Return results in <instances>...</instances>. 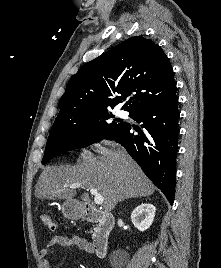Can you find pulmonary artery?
<instances>
[{"instance_id": "1", "label": "pulmonary artery", "mask_w": 221, "mask_h": 268, "mask_svg": "<svg viewBox=\"0 0 221 268\" xmlns=\"http://www.w3.org/2000/svg\"><path fill=\"white\" fill-rule=\"evenodd\" d=\"M118 115L120 116V117H122V118H124V117H126V112H124V111H120L119 113H118Z\"/></svg>"}]
</instances>
